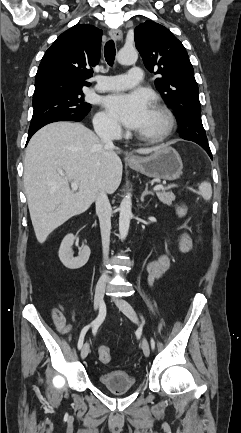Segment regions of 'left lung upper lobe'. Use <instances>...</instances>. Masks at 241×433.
<instances>
[{
  "instance_id": "5c2ea615",
  "label": "left lung upper lobe",
  "mask_w": 241,
  "mask_h": 433,
  "mask_svg": "<svg viewBox=\"0 0 241 433\" xmlns=\"http://www.w3.org/2000/svg\"><path fill=\"white\" fill-rule=\"evenodd\" d=\"M134 38L146 68L160 76L155 86L176 113L180 136L209 146L194 69L182 43L166 27L151 20L135 28Z\"/></svg>"
}]
</instances>
